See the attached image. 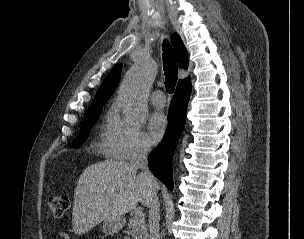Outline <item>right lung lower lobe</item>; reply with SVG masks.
<instances>
[{"instance_id":"98d812e1","label":"right lung lower lobe","mask_w":304,"mask_h":239,"mask_svg":"<svg viewBox=\"0 0 304 239\" xmlns=\"http://www.w3.org/2000/svg\"><path fill=\"white\" fill-rule=\"evenodd\" d=\"M191 93L190 78L178 82L168 112V127L164 139L149 154V168L168 189H173L172 157L186 121V110Z\"/></svg>"}]
</instances>
